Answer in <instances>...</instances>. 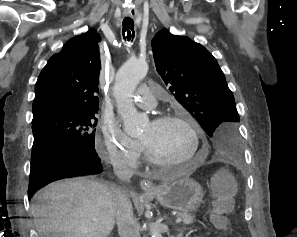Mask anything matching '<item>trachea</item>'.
Listing matches in <instances>:
<instances>
[{
	"mask_svg": "<svg viewBox=\"0 0 297 237\" xmlns=\"http://www.w3.org/2000/svg\"><path fill=\"white\" fill-rule=\"evenodd\" d=\"M122 35L124 40L131 41L134 39L135 32H134V21L133 19L126 17L122 23Z\"/></svg>",
	"mask_w": 297,
	"mask_h": 237,
	"instance_id": "obj_1",
	"label": "trachea"
}]
</instances>
